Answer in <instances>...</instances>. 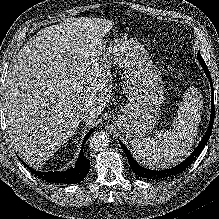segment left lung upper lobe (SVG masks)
I'll list each match as a JSON object with an SVG mask.
<instances>
[{"label": "left lung upper lobe", "instance_id": "1", "mask_svg": "<svg viewBox=\"0 0 219 219\" xmlns=\"http://www.w3.org/2000/svg\"><path fill=\"white\" fill-rule=\"evenodd\" d=\"M198 58H202L201 55H200V52L198 53Z\"/></svg>", "mask_w": 219, "mask_h": 219}]
</instances>
